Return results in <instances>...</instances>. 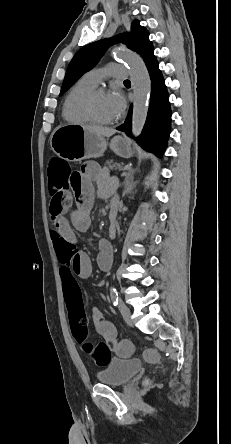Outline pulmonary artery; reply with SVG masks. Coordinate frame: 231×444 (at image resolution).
Instances as JSON below:
<instances>
[{
	"mask_svg": "<svg viewBox=\"0 0 231 444\" xmlns=\"http://www.w3.org/2000/svg\"><path fill=\"white\" fill-rule=\"evenodd\" d=\"M128 74L129 70L126 67L110 64L106 68L92 69L84 77L94 85H97L106 77L125 80L128 78Z\"/></svg>",
	"mask_w": 231,
	"mask_h": 444,
	"instance_id": "e3ab8cb5",
	"label": "pulmonary artery"
}]
</instances>
